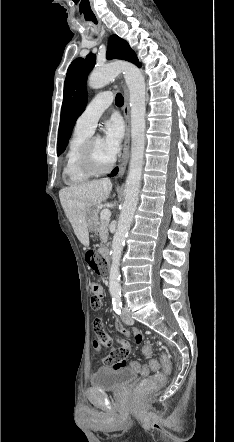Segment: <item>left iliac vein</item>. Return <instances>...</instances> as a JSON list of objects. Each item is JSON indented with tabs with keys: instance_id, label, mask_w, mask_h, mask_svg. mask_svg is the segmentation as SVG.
I'll return each instance as SVG.
<instances>
[{
	"instance_id": "1",
	"label": "left iliac vein",
	"mask_w": 234,
	"mask_h": 442,
	"mask_svg": "<svg viewBox=\"0 0 234 442\" xmlns=\"http://www.w3.org/2000/svg\"><path fill=\"white\" fill-rule=\"evenodd\" d=\"M121 319L127 325H132L134 323V320L132 319L131 315L125 309H124V311L121 314Z\"/></svg>"
}]
</instances>
